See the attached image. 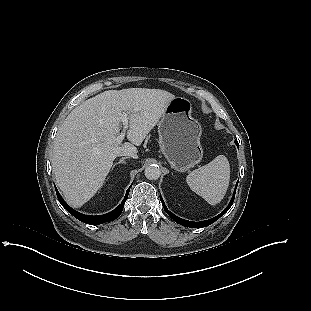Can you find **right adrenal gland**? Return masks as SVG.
Here are the masks:
<instances>
[{"label": "right adrenal gland", "mask_w": 311, "mask_h": 311, "mask_svg": "<svg viewBox=\"0 0 311 311\" xmlns=\"http://www.w3.org/2000/svg\"><path fill=\"white\" fill-rule=\"evenodd\" d=\"M125 159H127V157H122L117 163L113 165L112 169L118 164H125Z\"/></svg>", "instance_id": "right-adrenal-gland-1"}]
</instances>
